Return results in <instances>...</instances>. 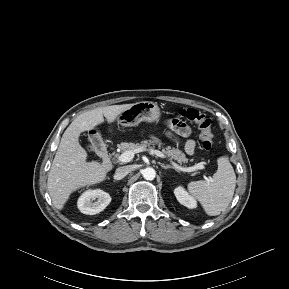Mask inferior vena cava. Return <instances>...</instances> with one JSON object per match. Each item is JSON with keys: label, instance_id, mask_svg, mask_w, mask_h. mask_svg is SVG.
Segmentation results:
<instances>
[{"label": "inferior vena cava", "instance_id": "inferior-vena-cava-1", "mask_svg": "<svg viewBox=\"0 0 289 289\" xmlns=\"http://www.w3.org/2000/svg\"><path fill=\"white\" fill-rule=\"evenodd\" d=\"M133 170L131 165L122 166L116 169L115 171V179L120 180L128 175Z\"/></svg>", "mask_w": 289, "mask_h": 289}]
</instances>
